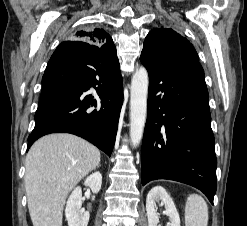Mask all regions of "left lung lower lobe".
<instances>
[{
  "mask_svg": "<svg viewBox=\"0 0 247 226\" xmlns=\"http://www.w3.org/2000/svg\"><path fill=\"white\" fill-rule=\"evenodd\" d=\"M140 61L149 74L142 185L155 179L182 182L200 189L213 204L217 161L202 66L167 64L143 55Z\"/></svg>",
  "mask_w": 247,
  "mask_h": 226,
  "instance_id": "obj_1",
  "label": "left lung lower lobe"
}]
</instances>
